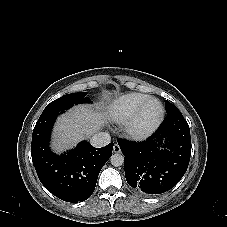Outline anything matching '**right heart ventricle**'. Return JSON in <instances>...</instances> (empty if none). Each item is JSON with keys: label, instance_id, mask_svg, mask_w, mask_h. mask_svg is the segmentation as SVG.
Returning a JSON list of instances; mask_svg holds the SVG:
<instances>
[{"label": "right heart ventricle", "instance_id": "1", "mask_svg": "<svg viewBox=\"0 0 227 227\" xmlns=\"http://www.w3.org/2000/svg\"><path fill=\"white\" fill-rule=\"evenodd\" d=\"M150 99L144 94L132 93L113 100L107 109L108 117L117 122L129 120Z\"/></svg>", "mask_w": 227, "mask_h": 227}]
</instances>
